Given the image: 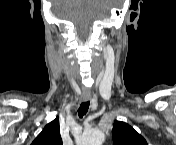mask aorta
<instances>
[{"mask_svg":"<svg viewBox=\"0 0 176 145\" xmlns=\"http://www.w3.org/2000/svg\"><path fill=\"white\" fill-rule=\"evenodd\" d=\"M105 139L104 133L95 128L89 131H86L82 137L83 145H101Z\"/></svg>","mask_w":176,"mask_h":145,"instance_id":"762f6f07","label":"aorta"}]
</instances>
